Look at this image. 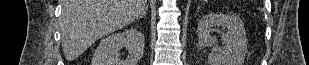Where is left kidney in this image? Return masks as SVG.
<instances>
[{
    "mask_svg": "<svg viewBox=\"0 0 309 65\" xmlns=\"http://www.w3.org/2000/svg\"><path fill=\"white\" fill-rule=\"evenodd\" d=\"M216 27L227 30L221 36L224 48L218 46L217 38L211 35ZM197 35L200 47H212L208 56L210 65H243L247 53V38L244 24L237 15H205L198 22Z\"/></svg>",
    "mask_w": 309,
    "mask_h": 65,
    "instance_id": "5707ae66",
    "label": "left kidney"
}]
</instances>
